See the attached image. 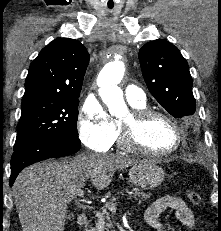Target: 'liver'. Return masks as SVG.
<instances>
[{"instance_id": "6515ba94", "label": "liver", "mask_w": 221, "mask_h": 231, "mask_svg": "<svg viewBox=\"0 0 221 231\" xmlns=\"http://www.w3.org/2000/svg\"><path fill=\"white\" fill-rule=\"evenodd\" d=\"M137 161L114 154H82L25 168L13 186L23 231H64L67 204L89 181L103 190L114 173Z\"/></svg>"}]
</instances>
